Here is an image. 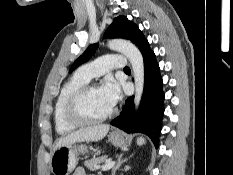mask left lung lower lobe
<instances>
[{
    "label": "left lung lower lobe",
    "mask_w": 233,
    "mask_h": 175,
    "mask_svg": "<svg viewBox=\"0 0 233 175\" xmlns=\"http://www.w3.org/2000/svg\"><path fill=\"white\" fill-rule=\"evenodd\" d=\"M141 53L144 60L145 82L139 112L135 114L133 97H129L122 112L111 121V125L127 133H144L158 147L164 114L163 80L156 56L149 44L141 50Z\"/></svg>",
    "instance_id": "obj_1"
}]
</instances>
